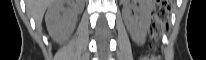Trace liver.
<instances>
[{"label":"liver","mask_w":206,"mask_h":60,"mask_svg":"<svg viewBox=\"0 0 206 60\" xmlns=\"http://www.w3.org/2000/svg\"><path fill=\"white\" fill-rule=\"evenodd\" d=\"M58 1L59 0H27L26 1L27 12L29 15H31L35 19L36 24L40 25L46 9L53 4L59 5L60 2ZM72 2L74 4V0ZM79 3H83V0H76V4H79ZM79 10L81 9L78 8V5H73L72 11H67V12L63 11L60 13L62 15V19L65 22L69 19L72 12H78ZM47 27L50 31V34L52 35L54 39H56V37L60 35V31L56 33L54 27H50L48 23H47Z\"/></svg>","instance_id":"liver-1"}]
</instances>
